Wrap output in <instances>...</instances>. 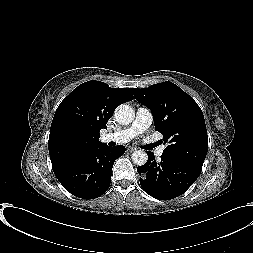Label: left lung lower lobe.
<instances>
[{
  "instance_id": "obj_1",
  "label": "left lung lower lobe",
  "mask_w": 253,
  "mask_h": 253,
  "mask_svg": "<svg viewBox=\"0 0 253 253\" xmlns=\"http://www.w3.org/2000/svg\"><path fill=\"white\" fill-rule=\"evenodd\" d=\"M147 154L148 161L137 172L141 175V187L154 198L170 200L182 195L201 173L202 166L193 162L166 154L156 162L153 153Z\"/></svg>"
}]
</instances>
